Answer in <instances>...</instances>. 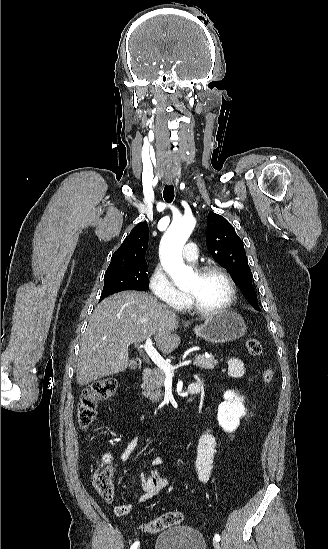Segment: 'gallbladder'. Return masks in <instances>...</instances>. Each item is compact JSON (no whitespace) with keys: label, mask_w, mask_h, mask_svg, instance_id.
<instances>
[{"label":"gallbladder","mask_w":328,"mask_h":549,"mask_svg":"<svg viewBox=\"0 0 328 549\" xmlns=\"http://www.w3.org/2000/svg\"><path fill=\"white\" fill-rule=\"evenodd\" d=\"M129 367L130 369H141L140 363H137V361H131Z\"/></svg>","instance_id":"bac80fb5"}]
</instances>
